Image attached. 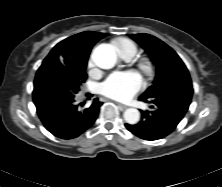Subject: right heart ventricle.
Masks as SVG:
<instances>
[{
    "label": "right heart ventricle",
    "mask_w": 222,
    "mask_h": 187,
    "mask_svg": "<svg viewBox=\"0 0 222 187\" xmlns=\"http://www.w3.org/2000/svg\"><path fill=\"white\" fill-rule=\"evenodd\" d=\"M116 45L119 48L121 55L130 53L134 56L137 52L136 45L129 40H119Z\"/></svg>",
    "instance_id": "e07e8e85"
}]
</instances>
